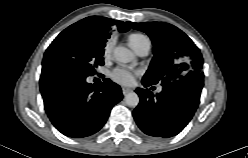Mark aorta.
I'll return each instance as SVG.
<instances>
[{
    "label": "aorta",
    "mask_w": 248,
    "mask_h": 158,
    "mask_svg": "<svg viewBox=\"0 0 248 158\" xmlns=\"http://www.w3.org/2000/svg\"><path fill=\"white\" fill-rule=\"evenodd\" d=\"M114 57L121 63H129L134 59L133 53L126 47H116L113 51ZM125 103L130 107H136L139 104V96L135 92H130L125 96Z\"/></svg>",
    "instance_id": "obj_1"
}]
</instances>
